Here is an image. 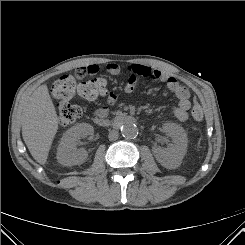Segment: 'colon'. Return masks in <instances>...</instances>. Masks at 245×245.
<instances>
[{"label": "colon", "mask_w": 245, "mask_h": 245, "mask_svg": "<svg viewBox=\"0 0 245 245\" xmlns=\"http://www.w3.org/2000/svg\"><path fill=\"white\" fill-rule=\"evenodd\" d=\"M52 95L58 100L57 113L62 125L74 123L82 114V108L69 103V100L77 92L86 99H95L107 91V82L103 77H95L85 80L77 85L72 75H63L52 86ZM192 115L195 120L203 119V110L197 101H194Z\"/></svg>", "instance_id": "obj_1"}]
</instances>
